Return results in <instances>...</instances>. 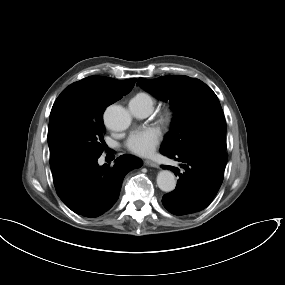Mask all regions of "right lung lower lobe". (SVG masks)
Segmentation results:
<instances>
[{
    "mask_svg": "<svg viewBox=\"0 0 285 285\" xmlns=\"http://www.w3.org/2000/svg\"><path fill=\"white\" fill-rule=\"evenodd\" d=\"M100 155L74 160L52 171L56 192L63 203L78 215L94 218L117 201L124 176L142 161L131 155L116 159L113 167L97 163Z\"/></svg>",
    "mask_w": 285,
    "mask_h": 285,
    "instance_id": "obj_1",
    "label": "right lung lower lobe"
}]
</instances>
